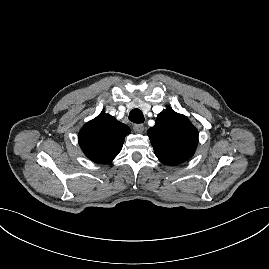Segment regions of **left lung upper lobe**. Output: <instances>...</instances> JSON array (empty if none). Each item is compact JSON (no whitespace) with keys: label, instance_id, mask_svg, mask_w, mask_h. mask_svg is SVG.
<instances>
[{"label":"left lung upper lobe","instance_id":"1","mask_svg":"<svg viewBox=\"0 0 269 269\" xmlns=\"http://www.w3.org/2000/svg\"><path fill=\"white\" fill-rule=\"evenodd\" d=\"M148 136L155 155L167 165H177L190 159L198 144L197 129L186 116L171 108L158 114Z\"/></svg>","mask_w":269,"mask_h":269}]
</instances>
